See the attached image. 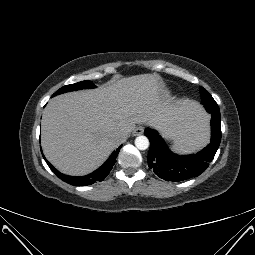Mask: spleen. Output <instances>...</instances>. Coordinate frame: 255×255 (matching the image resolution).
<instances>
[{"instance_id": "spleen-1", "label": "spleen", "mask_w": 255, "mask_h": 255, "mask_svg": "<svg viewBox=\"0 0 255 255\" xmlns=\"http://www.w3.org/2000/svg\"><path fill=\"white\" fill-rule=\"evenodd\" d=\"M209 141V117L204 114L184 135L172 142L174 150L179 152L197 151Z\"/></svg>"}]
</instances>
